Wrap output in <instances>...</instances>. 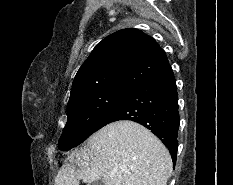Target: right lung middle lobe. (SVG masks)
Here are the masks:
<instances>
[{"label": "right lung middle lobe", "mask_w": 233, "mask_h": 185, "mask_svg": "<svg viewBox=\"0 0 233 185\" xmlns=\"http://www.w3.org/2000/svg\"><path fill=\"white\" fill-rule=\"evenodd\" d=\"M129 89L107 87L83 93L68 102L67 124L59 148L67 151L98 130L102 120L126 97Z\"/></svg>", "instance_id": "obj_1"}]
</instances>
